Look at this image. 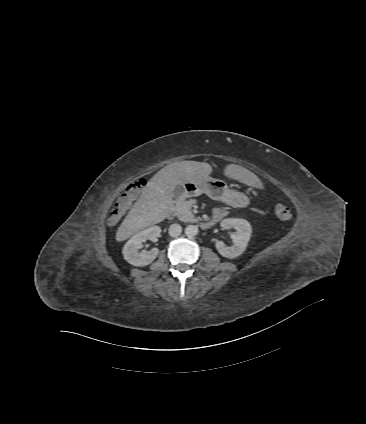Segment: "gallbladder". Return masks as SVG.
Listing matches in <instances>:
<instances>
[{
	"mask_svg": "<svg viewBox=\"0 0 366 424\" xmlns=\"http://www.w3.org/2000/svg\"><path fill=\"white\" fill-rule=\"evenodd\" d=\"M182 195H183V190H182V187L179 185L174 190V197H175V199H178Z\"/></svg>",
	"mask_w": 366,
	"mask_h": 424,
	"instance_id": "gallbladder-1",
	"label": "gallbladder"
}]
</instances>
